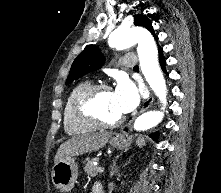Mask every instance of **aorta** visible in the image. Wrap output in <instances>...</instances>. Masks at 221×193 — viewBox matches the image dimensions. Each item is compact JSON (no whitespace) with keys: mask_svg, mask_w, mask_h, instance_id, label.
<instances>
[{"mask_svg":"<svg viewBox=\"0 0 221 193\" xmlns=\"http://www.w3.org/2000/svg\"><path fill=\"white\" fill-rule=\"evenodd\" d=\"M136 43L138 44L137 53L142 73L165 107L167 104L166 84L158 64V51L153 36L147 30L139 27L118 28L109 36L110 47L117 50L131 47ZM163 116L162 111L143 113L137 117L133 127L137 131L148 130L158 125Z\"/></svg>","mask_w":221,"mask_h":193,"instance_id":"aorta-1","label":"aorta"}]
</instances>
